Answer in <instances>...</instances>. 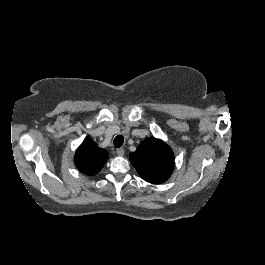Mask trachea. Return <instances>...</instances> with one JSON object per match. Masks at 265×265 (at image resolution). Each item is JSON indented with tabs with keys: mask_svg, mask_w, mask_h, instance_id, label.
Instances as JSON below:
<instances>
[{
	"mask_svg": "<svg viewBox=\"0 0 265 265\" xmlns=\"http://www.w3.org/2000/svg\"><path fill=\"white\" fill-rule=\"evenodd\" d=\"M124 142V138L123 136L120 134V135H117L115 138H114V146L119 148L122 146Z\"/></svg>",
	"mask_w": 265,
	"mask_h": 265,
	"instance_id": "obj_1",
	"label": "trachea"
}]
</instances>
